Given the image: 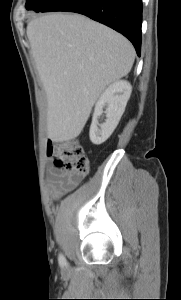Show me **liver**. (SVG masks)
Wrapping results in <instances>:
<instances>
[{"instance_id": "liver-1", "label": "liver", "mask_w": 181, "mask_h": 300, "mask_svg": "<svg viewBox=\"0 0 181 300\" xmlns=\"http://www.w3.org/2000/svg\"><path fill=\"white\" fill-rule=\"evenodd\" d=\"M27 36L47 95V137L75 139L104 89L130 72L134 47L80 14L39 16L27 25Z\"/></svg>"}]
</instances>
